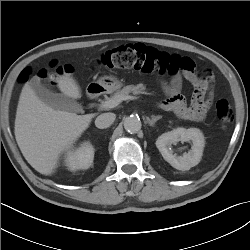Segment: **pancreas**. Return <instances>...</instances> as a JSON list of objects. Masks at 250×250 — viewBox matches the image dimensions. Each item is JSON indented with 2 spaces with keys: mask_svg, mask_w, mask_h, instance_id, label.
Wrapping results in <instances>:
<instances>
[{
  "mask_svg": "<svg viewBox=\"0 0 250 250\" xmlns=\"http://www.w3.org/2000/svg\"><path fill=\"white\" fill-rule=\"evenodd\" d=\"M145 85L138 84V85H128L123 87L121 90L116 91L112 96L111 99L120 98L127 96L129 93H133L134 95L143 94L145 93Z\"/></svg>",
  "mask_w": 250,
  "mask_h": 250,
  "instance_id": "pancreas-1",
  "label": "pancreas"
}]
</instances>
